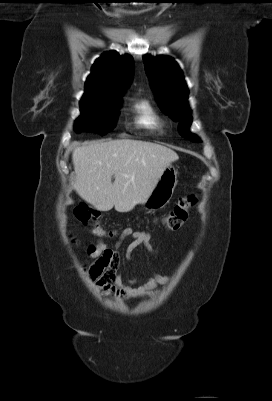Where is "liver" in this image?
Instances as JSON below:
<instances>
[{
    "mask_svg": "<svg viewBox=\"0 0 272 401\" xmlns=\"http://www.w3.org/2000/svg\"><path fill=\"white\" fill-rule=\"evenodd\" d=\"M178 159L175 151L156 143L93 141L73 150L74 189L98 210L129 212L148 198L165 168Z\"/></svg>",
    "mask_w": 272,
    "mask_h": 401,
    "instance_id": "liver-1",
    "label": "liver"
}]
</instances>
